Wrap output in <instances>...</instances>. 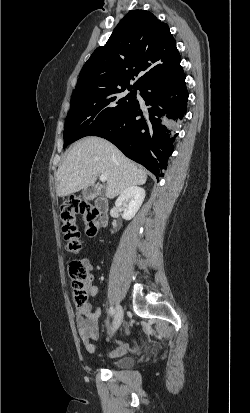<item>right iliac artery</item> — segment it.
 <instances>
[{
  "label": "right iliac artery",
  "mask_w": 250,
  "mask_h": 413,
  "mask_svg": "<svg viewBox=\"0 0 250 413\" xmlns=\"http://www.w3.org/2000/svg\"><path fill=\"white\" fill-rule=\"evenodd\" d=\"M114 313H115V310L113 309V307H110V308H109V315H110V317H112V316L114 315Z\"/></svg>",
  "instance_id": "82829eb1"
}]
</instances>
